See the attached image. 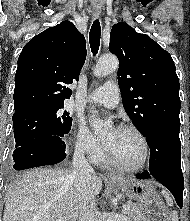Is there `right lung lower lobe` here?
<instances>
[{"label":"right lung lower lobe","instance_id":"1","mask_svg":"<svg viewBox=\"0 0 190 221\" xmlns=\"http://www.w3.org/2000/svg\"><path fill=\"white\" fill-rule=\"evenodd\" d=\"M65 157V142L61 136H41L14 150V169L52 165L61 162Z\"/></svg>","mask_w":190,"mask_h":221}]
</instances>
